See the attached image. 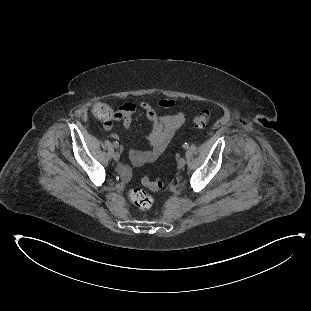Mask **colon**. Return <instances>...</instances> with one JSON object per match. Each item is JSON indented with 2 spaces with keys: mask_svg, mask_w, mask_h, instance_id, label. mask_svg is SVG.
Here are the masks:
<instances>
[{
  "mask_svg": "<svg viewBox=\"0 0 311 311\" xmlns=\"http://www.w3.org/2000/svg\"><path fill=\"white\" fill-rule=\"evenodd\" d=\"M91 114L98 120L103 121L108 124L112 121L114 117V112L108 104L98 102L92 105ZM211 119V112L208 109H203L199 111L193 118V124L197 128H204L208 125ZM143 184L151 190H160L165 185V180L163 178H158L154 180L144 179ZM129 198L133 204L140 210H148L153 204L152 198L145 193L142 189L133 188L129 191Z\"/></svg>",
  "mask_w": 311,
  "mask_h": 311,
  "instance_id": "colon-1",
  "label": "colon"
}]
</instances>
